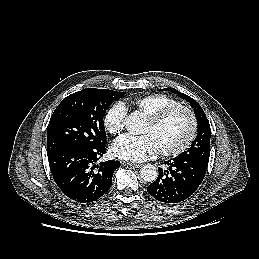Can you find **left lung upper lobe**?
<instances>
[{"instance_id": "left-lung-upper-lobe-1", "label": "left lung upper lobe", "mask_w": 259, "mask_h": 259, "mask_svg": "<svg viewBox=\"0 0 259 259\" xmlns=\"http://www.w3.org/2000/svg\"><path fill=\"white\" fill-rule=\"evenodd\" d=\"M164 91H171L177 94L179 97L189 101L191 106L194 108L195 116L198 124V134L191 147L180 154V157L189 158L195 162L208 166L209 155H210V137L211 129L209 121L201 110L200 105L192 98L184 93L179 92L174 88H165Z\"/></svg>"}]
</instances>
